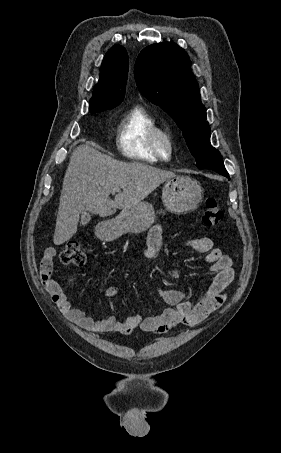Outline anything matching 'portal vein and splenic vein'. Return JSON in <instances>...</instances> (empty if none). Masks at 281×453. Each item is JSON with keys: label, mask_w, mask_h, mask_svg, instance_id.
<instances>
[{"label": "portal vein and splenic vein", "mask_w": 281, "mask_h": 453, "mask_svg": "<svg viewBox=\"0 0 281 453\" xmlns=\"http://www.w3.org/2000/svg\"><path fill=\"white\" fill-rule=\"evenodd\" d=\"M113 190H120V188H116V186H114Z\"/></svg>", "instance_id": "obj_1"}]
</instances>
